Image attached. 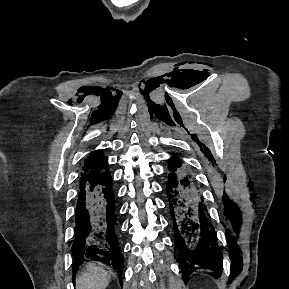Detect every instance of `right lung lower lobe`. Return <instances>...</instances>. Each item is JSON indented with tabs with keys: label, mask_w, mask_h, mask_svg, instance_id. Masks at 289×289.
Here are the masks:
<instances>
[{
	"label": "right lung lower lobe",
	"mask_w": 289,
	"mask_h": 289,
	"mask_svg": "<svg viewBox=\"0 0 289 289\" xmlns=\"http://www.w3.org/2000/svg\"><path fill=\"white\" fill-rule=\"evenodd\" d=\"M75 211L73 274L85 257L112 266L122 281L123 256L118 239V221L112 178L108 170L80 180Z\"/></svg>",
	"instance_id": "obj_1"
}]
</instances>
